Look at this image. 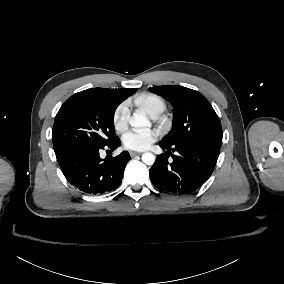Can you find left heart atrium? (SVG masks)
I'll return each mask as SVG.
<instances>
[{
	"label": "left heart atrium",
	"mask_w": 284,
	"mask_h": 284,
	"mask_svg": "<svg viewBox=\"0 0 284 284\" xmlns=\"http://www.w3.org/2000/svg\"><path fill=\"white\" fill-rule=\"evenodd\" d=\"M158 137L154 130L132 128L126 131L122 137L126 148L142 150L149 147Z\"/></svg>",
	"instance_id": "39dd6f15"
}]
</instances>
